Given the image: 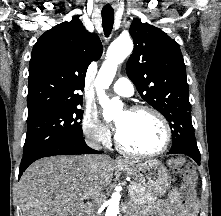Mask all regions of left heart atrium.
<instances>
[{"instance_id":"left-heart-atrium-1","label":"left heart atrium","mask_w":221,"mask_h":216,"mask_svg":"<svg viewBox=\"0 0 221 216\" xmlns=\"http://www.w3.org/2000/svg\"><path fill=\"white\" fill-rule=\"evenodd\" d=\"M117 134H118V126H117Z\"/></svg>"}]
</instances>
